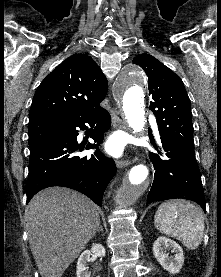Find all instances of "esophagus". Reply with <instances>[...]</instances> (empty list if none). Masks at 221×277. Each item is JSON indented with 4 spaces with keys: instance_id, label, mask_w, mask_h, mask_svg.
<instances>
[{
    "instance_id": "esophagus-1",
    "label": "esophagus",
    "mask_w": 221,
    "mask_h": 277,
    "mask_svg": "<svg viewBox=\"0 0 221 277\" xmlns=\"http://www.w3.org/2000/svg\"><path fill=\"white\" fill-rule=\"evenodd\" d=\"M111 117H112V123L114 128H121V129L127 128L126 121L120 117V114L116 108L112 109ZM116 165L118 168H122V167L128 166L129 161L125 159L117 160Z\"/></svg>"
}]
</instances>
